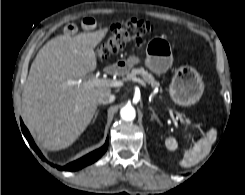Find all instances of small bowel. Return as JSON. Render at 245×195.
Masks as SVG:
<instances>
[{
  "mask_svg": "<svg viewBox=\"0 0 245 195\" xmlns=\"http://www.w3.org/2000/svg\"><path fill=\"white\" fill-rule=\"evenodd\" d=\"M82 27L85 30H92L96 27V20L91 17L84 18L82 21ZM64 32L67 35H73L77 32V27L74 24H68L65 26Z\"/></svg>",
  "mask_w": 245,
  "mask_h": 195,
  "instance_id": "1",
  "label": "small bowel"
}]
</instances>
